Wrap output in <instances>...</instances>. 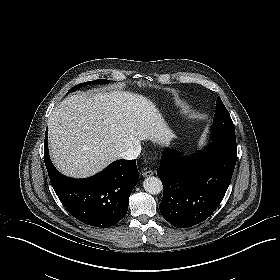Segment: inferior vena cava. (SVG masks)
I'll use <instances>...</instances> for the list:
<instances>
[{
  "label": "inferior vena cava",
  "instance_id": "602c4592",
  "mask_svg": "<svg viewBox=\"0 0 280 280\" xmlns=\"http://www.w3.org/2000/svg\"><path fill=\"white\" fill-rule=\"evenodd\" d=\"M141 152V144L135 143L131 147L127 148L126 150L122 151L119 156L123 159L133 160L136 159Z\"/></svg>",
  "mask_w": 280,
  "mask_h": 280
}]
</instances>
